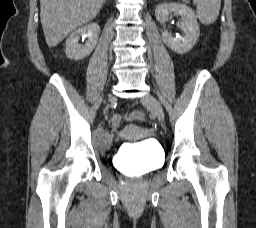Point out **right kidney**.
<instances>
[{
    "label": "right kidney",
    "mask_w": 256,
    "mask_h": 228,
    "mask_svg": "<svg viewBox=\"0 0 256 228\" xmlns=\"http://www.w3.org/2000/svg\"><path fill=\"white\" fill-rule=\"evenodd\" d=\"M100 28L97 23H91L74 31L66 40V56L73 60H81L94 50L99 37ZM80 37L88 38L84 44H79Z\"/></svg>",
    "instance_id": "1"
}]
</instances>
